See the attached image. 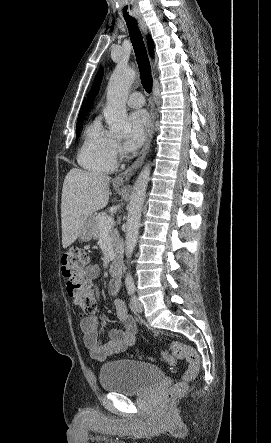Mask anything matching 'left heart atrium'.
Instances as JSON below:
<instances>
[{
  "label": "left heart atrium",
  "instance_id": "obj_1",
  "mask_svg": "<svg viewBox=\"0 0 271 443\" xmlns=\"http://www.w3.org/2000/svg\"><path fill=\"white\" fill-rule=\"evenodd\" d=\"M128 119L131 132L126 139L125 146L129 151H135L142 146L149 133L150 120L147 112L143 109L132 111Z\"/></svg>",
  "mask_w": 271,
  "mask_h": 443
}]
</instances>
